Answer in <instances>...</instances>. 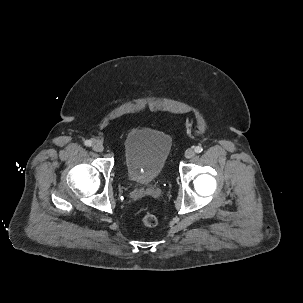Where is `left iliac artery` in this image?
I'll list each match as a JSON object with an SVG mask.
<instances>
[{
    "label": "left iliac artery",
    "instance_id": "44dca946",
    "mask_svg": "<svg viewBox=\"0 0 303 303\" xmlns=\"http://www.w3.org/2000/svg\"><path fill=\"white\" fill-rule=\"evenodd\" d=\"M203 151V148L201 147V146H196L195 147V152L196 153H200V152H202Z\"/></svg>",
    "mask_w": 303,
    "mask_h": 303
}]
</instances>
